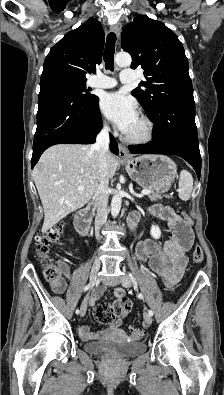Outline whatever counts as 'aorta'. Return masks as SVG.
<instances>
[{"instance_id":"762f6f07","label":"aorta","mask_w":224,"mask_h":395,"mask_svg":"<svg viewBox=\"0 0 224 395\" xmlns=\"http://www.w3.org/2000/svg\"><path fill=\"white\" fill-rule=\"evenodd\" d=\"M132 58L128 53H118L115 56V63L119 67H128L131 65ZM122 199L119 194H115L111 201V215L113 218L117 217L121 209Z\"/></svg>"}]
</instances>
